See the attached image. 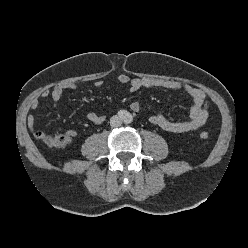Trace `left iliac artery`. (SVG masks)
Returning a JSON list of instances; mask_svg holds the SVG:
<instances>
[{
  "label": "left iliac artery",
  "instance_id": "44dca946",
  "mask_svg": "<svg viewBox=\"0 0 248 248\" xmlns=\"http://www.w3.org/2000/svg\"><path fill=\"white\" fill-rule=\"evenodd\" d=\"M132 121H133L132 115L128 114V115L126 116L125 122H126V123H131Z\"/></svg>",
  "mask_w": 248,
  "mask_h": 248
}]
</instances>
